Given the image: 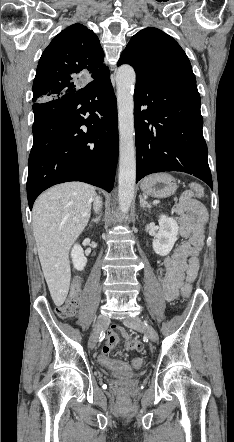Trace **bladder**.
Instances as JSON below:
<instances>
[{"label": "bladder", "instance_id": "31cf9c89", "mask_svg": "<svg viewBox=\"0 0 234 442\" xmlns=\"http://www.w3.org/2000/svg\"><path fill=\"white\" fill-rule=\"evenodd\" d=\"M140 375V373L131 370V369H126V370H115L112 372V376L118 379H131V378H135L138 377Z\"/></svg>", "mask_w": 234, "mask_h": 442}]
</instances>
